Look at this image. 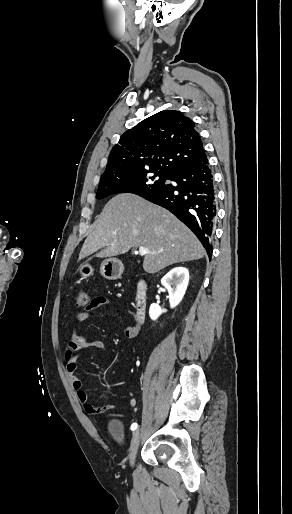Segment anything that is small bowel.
<instances>
[{
    "label": "small bowel",
    "instance_id": "c3829d8e",
    "mask_svg": "<svg viewBox=\"0 0 292 514\" xmlns=\"http://www.w3.org/2000/svg\"><path fill=\"white\" fill-rule=\"evenodd\" d=\"M110 300L103 296L98 295L91 299L89 308L87 311L79 312L76 314V321L82 322L85 321L89 313L97 310L102 307H108L110 306ZM133 318L135 317V314L131 310H127ZM135 321V320H134ZM124 333L126 337L130 339H135L138 337L140 333V326L136 323L133 325H127L124 328ZM85 349H98L101 351H106V345L101 340H88L84 338L76 325H73L71 328L69 339L65 347V356H66V372L68 374V379L71 384V387L76 391L77 397L79 401L83 404V411L87 412L90 417H93L95 415V412L97 414H106L110 409L112 411H115L117 409V406L115 404H112L111 406L109 404L104 405H94L90 402H88V394L82 389V381L74 375L75 371L77 370V363L79 360V351L85 350ZM129 404L131 406H136L138 404V401L134 397V393L132 391H129L127 393ZM95 410V412L93 411Z\"/></svg>",
    "mask_w": 292,
    "mask_h": 514
}]
</instances>
